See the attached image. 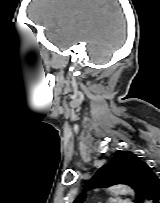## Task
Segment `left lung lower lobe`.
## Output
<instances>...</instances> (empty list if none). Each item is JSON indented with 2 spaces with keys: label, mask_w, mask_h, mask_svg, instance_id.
<instances>
[{
  "label": "left lung lower lobe",
  "mask_w": 160,
  "mask_h": 203,
  "mask_svg": "<svg viewBox=\"0 0 160 203\" xmlns=\"http://www.w3.org/2000/svg\"><path fill=\"white\" fill-rule=\"evenodd\" d=\"M153 203H160V178L158 177L154 187L152 188L150 198Z\"/></svg>",
  "instance_id": "left-lung-lower-lobe-1"
}]
</instances>
